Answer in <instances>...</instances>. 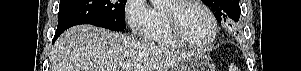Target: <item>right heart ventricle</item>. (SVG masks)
Returning a JSON list of instances; mask_svg holds the SVG:
<instances>
[{"label": "right heart ventricle", "mask_w": 301, "mask_h": 71, "mask_svg": "<svg viewBox=\"0 0 301 71\" xmlns=\"http://www.w3.org/2000/svg\"><path fill=\"white\" fill-rule=\"evenodd\" d=\"M144 40L151 44L166 47L178 48L183 46L171 33L161 8L152 9L151 21L144 33Z\"/></svg>", "instance_id": "right-heart-ventricle-1"}]
</instances>
